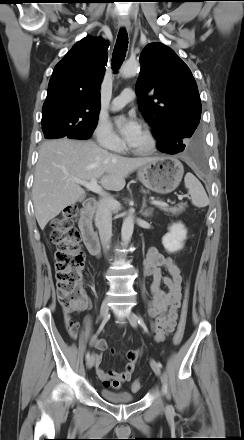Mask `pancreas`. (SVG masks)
Here are the masks:
<instances>
[{
    "label": "pancreas",
    "instance_id": "1",
    "mask_svg": "<svg viewBox=\"0 0 244 440\" xmlns=\"http://www.w3.org/2000/svg\"><path fill=\"white\" fill-rule=\"evenodd\" d=\"M158 207L167 213H172L173 215H177L184 211L185 207H187V203H180L177 205V207H167L162 205H158Z\"/></svg>",
    "mask_w": 244,
    "mask_h": 440
}]
</instances>
